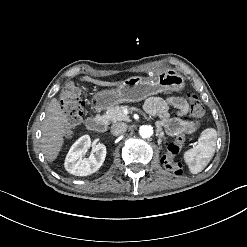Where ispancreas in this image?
<instances>
[{"label": "pancreas", "mask_w": 247, "mask_h": 247, "mask_svg": "<svg viewBox=\"0 0 247 247\" xmlns=\"http://www.w3.org/2000/svg\"><path fill=\"white\" fill-rule=\"evenodd\" d=\"M122 106H115L107 109L104 117L109 121L117 122V121H127L129 120V116L125 114L122 110ZM156 136H158V144H161L162 138L164 137V132L162 131V126L164 125V121H156Z\"/></svg>", "instance_id": "1"}]
</instances>
